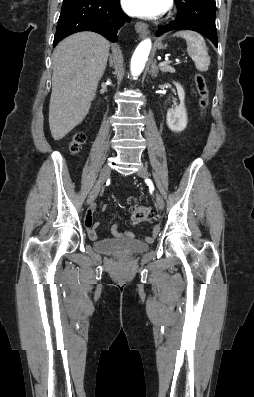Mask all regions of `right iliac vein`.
<instances>
[{
	"mask_svg": "<svg viewBox=\"0 0 254 397\" xmlns=\"http://www.w3.org/2000/svg\"><path fill=\"white\" fill-rule=\"evenodd\" d=\"M111 172V169L108 165H105L101 171L100 177H99V181L97 183V185L95 186V188L90 192L88 199H87V204L90 205L94 202V200L96 199L102 185L104 184V182L107 180V178L109 177Z\"/></svg>",
	"mask_w": 254,
	"mask_h": 397,
	"instance_id": "right-iliac-vein-1",
	"label": "right iliac vein"
}]
</instances>
